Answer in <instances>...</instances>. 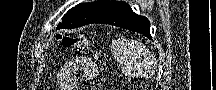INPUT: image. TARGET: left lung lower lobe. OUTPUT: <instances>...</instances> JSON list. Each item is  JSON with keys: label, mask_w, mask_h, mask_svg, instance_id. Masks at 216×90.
I'll return each instance as SVG.
<instances>
[{"label": "left lung lower lobe", "mask_w": 216, "mask_h": 90, "mask_svg": "<svg viewBox=\"0 0 216 90\" xmlns=\"http://www.w3.org/2000/svg\"><path fill=\"white\" fill-rule=\"evenodd\" d=\"M94 23L110 24L129 29L152 39L150 34V22L148 19L134 13L127 4L110 12Z\"/></svg>", "instance_id": "1"}]
</instances>
